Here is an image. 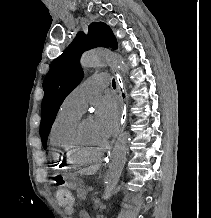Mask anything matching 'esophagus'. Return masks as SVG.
<instances>
[{
  "instance_id": "34e87169",
  "label": "esophagus",
  "mask_w": 211,
  "mask_h": 218,
  "mask_svg": "<svg viewBox=\"0 0 211 218\" xmlns=\"http://www.w3.org/2000/svg\"><path fill=\"white\" fill-rule=\"evenodd\" d=\"M114 75L116 77V84H117V89H118V93H119V97H120V101H121V108L120 109V114L122 117H128V111L127 109H129V104H124V103H129V98H127L129 95L126 93L127 91L124 89V80L123 77L121 76V72H115L114 71ZM121 123H118V128H125L126 127V122L127 119L126 118H121L120 119ZM112 141H119V136H112ZM105 156L104 159L101 160L102 163V168H104V171H107V168H109V164H111V160H113V156H114V149L113 148H106L105 149Z\"/></svg>"
}]
</instances>
